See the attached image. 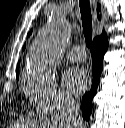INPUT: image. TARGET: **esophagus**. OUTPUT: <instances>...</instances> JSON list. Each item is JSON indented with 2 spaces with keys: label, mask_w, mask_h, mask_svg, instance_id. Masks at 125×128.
I'll return each mask as SVG.
<instances>
[{
  "label": "esophagus",
  "mask_w": 125,
  "mask_h": 128,
  "mask_svg": "<svg viewBox=\"0 0 125 128\" xmlns=\"http://www.w3.org/2000/svg\"><path fill=\"white\" fill-rule=\"evenodd\" d=\"M90 2L93 8L94 18H96V0H91Z\"/></svg>",
  "instance_id": "obj_1"
}]
</instances>
